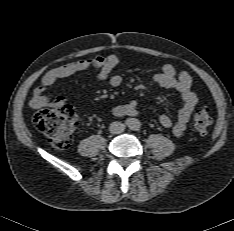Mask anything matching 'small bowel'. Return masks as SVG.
Segmentation results:
<instances>
[{"label":"small bowel","mask_w":234,"mask_h":231,"mask_svg":"<svg viewBox=\"0 0 234 231\" xmlns=\"http://www.w3.org/2000/svg\"><path fill=\"white\" fill-rule=\"evenodd\" d=\"M123 61L117 55L96 56L83 58L78 61L58 66L49 70L42 78L41 83L34 89L30 99V105L34 109L44 107L57 108L62 106L66 99L63 96L51 98L48 88L59 79L69 77L73 74L96 68L99 80H108L110 86L119 87L122 76L113 74L112 71L121 66ZM150 80L164 88L175 89L179 92L182 105L178 110L177 119L174 121L167 114L159 117L160 123L170 128L177 137L182 136L186 129L190 116L198 102L197 94L192 89V79L187 72L176 73L175 68L170 64H165L161 71L151 75ZM139 101L132 100L127 104L115 105L111 108V113L116 116H138Z\"/></svg>","instance_id":"small-bowel-1"}]
</instances>
